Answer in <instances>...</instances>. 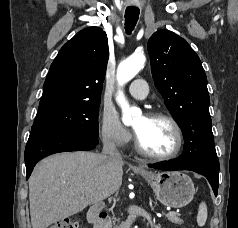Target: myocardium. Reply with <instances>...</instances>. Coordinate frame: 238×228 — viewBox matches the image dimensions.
I'll use <instances>...</instances> for the list:
<instances>
[{"instance_id":"1","label":"myocardium","mask_w":238,"mask_h":228,"mask_svg":"<svg viewBox=\"0 0 238 228\" xmlns=\"http://www.w3.org/2000/svg\"><path fill=\"white\" fill-rule=\"evenodd\" d=\"M147 117L153 118V119L167 120L172 125V127L174 129L175 136H176V143H175L173 150L167 154H162V155L153 154V153H150L149 151H147L142 146L138 136L135 135V147H136L137 152L140 155H142L148 159L157 160V161H167V160L175 158L180 153L182 146H183V132H182V129H181L179 123L177 122V120L169 113H166L163 111L149 112L147 114Z\"/></svg>"}]
</instances>
